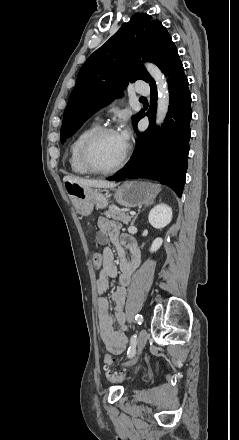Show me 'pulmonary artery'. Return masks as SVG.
Wrapping results in <instances>:
<instances>
[{"label": "pulmonary artery", "instance_id": "pulmonary-artery-1", "mask_svg": "<svg viewBox=\"0 0 239 440\" xmlns=\"http://www.w3.org/2000/svg\"><path fill=\"white\" fill-rule=\"evenodd\" d=\"M135 90H136L137 92H139V93H142V92H143L138 86L135 87ZM99 115H100V112L96 113L95 118L98 119V118H99Z\"/></svg>", "mask_w": 239, "mask_h": 440}]
</instances>
